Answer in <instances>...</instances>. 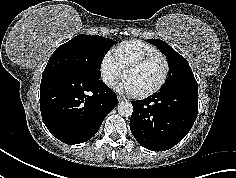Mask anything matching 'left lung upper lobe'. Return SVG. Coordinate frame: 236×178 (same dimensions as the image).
Returning a JSON list of instances; mask_svg holds the SVG:
<instances>
[{
    "mask_svg": "<svg viewBox=\"0 0 236 178\" xmlns=\"http://www.w3.org/2000/svg\"><path fill=\"white\" fill-rule=\"evenodd\" d=\"M148 41L157 46L167 58L169 76L162 90H198L192 70L183 56L162 40Z\"/></svg>",
    "mask_w": 236,
    "mask_h": 178,
    "instance_id": "left-lung-upper-lobe-1",
    "label": "left lung upper lobe"
}]
</instances>
